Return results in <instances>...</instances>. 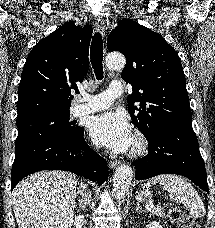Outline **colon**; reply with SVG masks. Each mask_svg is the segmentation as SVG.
I'll use <instances>...</instances> for the list:
<instances>
[{
    "mask_svg": "<svg viewBox=\"0 0 215 228\" xmlns=\"http://www.w3.org/2000/svg\"><path fill=\"white\" fill-rule=\"evenodd\" d=\"M169 216L173 223L180 228H199L194 219L177 207L169 208Z\"/></svg>",
    "mask_w": 215,
    "mask_h": 228,
    "instance_id": "obj_1",
    "label": "colon"
}]
</instances>
